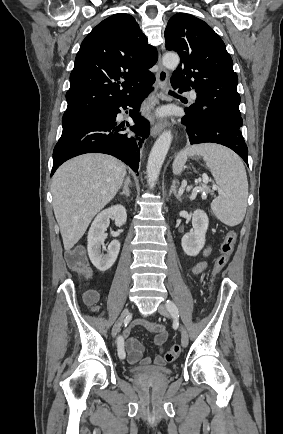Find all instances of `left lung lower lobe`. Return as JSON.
I'll return each mask as SVG.
<instances>
[{
    "label": "left lung lower lobe",
    "instance_id": "left-lung-lower-lobe-1",
    "mask_svg": "<svg viewBox=\"0 0 283 434\" xmlns=\"http://www.w3.org/2000/svg\"><path fill=\"white\" fill-rule=\"evenodd\" d=\"M178 92L189 91L184 86L172 82ZM186 115L181 123L191 144L218 143L235 151L248 165V149L240 130L242 117L232 112L214 107H204L199 113H191L185 109Z\"/></svg>",
    "mask_w": 283,
    "mask_h": 434
}]
</instances>
